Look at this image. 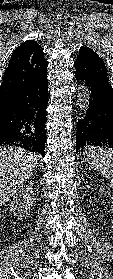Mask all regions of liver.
<instances>
[{
	"label": "liver",
	"mask_w": 113,
	"mask_h": 279,
	"mask_svg": "<svg viewBox=\"0 0 113 279\" xmlns=\"http://www.w3.org/2000/svg\"><path fill=\"white\" fill-rule=\"evenodd\" d=\"M37 161V154L23 148H0V205L14 196L30 178Z\"/></svg>",
	"instance_id": "1"
}]
</instances>
